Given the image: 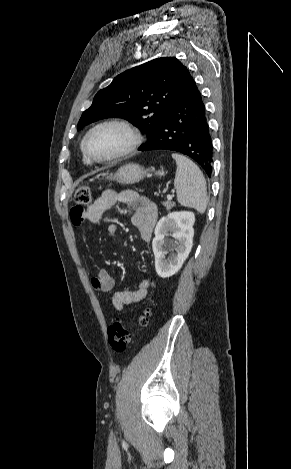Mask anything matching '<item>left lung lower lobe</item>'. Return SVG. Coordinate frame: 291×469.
<instances>
[{
    "label": "left lung lower lobe",
    "instance_id": "1",
    "mask_svg": "<svg viewBox=\"0 0 291 469\" xmlns=\"http://www.w3.org/2000/svg\"><path fill=\"white\" fill-rule=\"evenodd\" d=\"M167 149L195 160L210 177L213 146L201 94L193 80L176 98L140 151Z\"/></svg>",
    "mask_w": 291,
    "mask_h": 469
}]
</instances>
